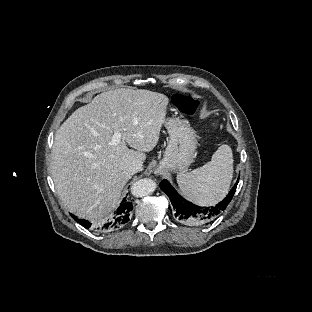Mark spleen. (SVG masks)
Wrapping results in <instances>:
<instances>
[{
	"mask_svg": "<svg viewBox=\"0 0 312 312\" xmlns=\"http://www.w3.org/2000/svg\"><path fill=\"white\" fill-rule=\"evenodd\" d=\"M231 149L224 145L214 152L212 160L187 173H178L182 193L195 203L213 205L228 192L233 173Z\"/></svg>",
	"mask_w": 312,
	"mask_h": 312,
	"instance_id": "3e777b00",
	"label": "spleen"
}]
</instances>
